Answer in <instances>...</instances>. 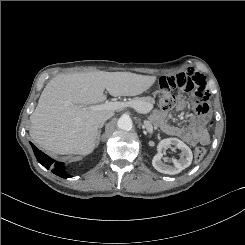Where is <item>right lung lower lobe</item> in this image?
I'll list each match as a JSON object with an SVG mask.
<instances>
[{
  "mask_svg": "<svg viewBox=\"0 0 245 245\" xmlns=\"http://www.w3.org/2000/svg\"><path fill=\"white\" fill-rule=\"evenodd\" d=\"M34 154L40 164H42L46 169H50L55 175L62 177V178H69L72 177L68 172L65 170L64 163L58 162L41 152L35 145L30 142Z\"/></svg>",
  "mask_w": 245,
  "mask_h": 245,
  "instance_id": "1",
  "label": "right lung lower lobe"
}]
</instances>
